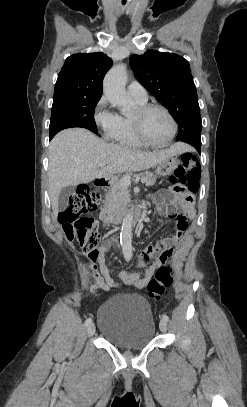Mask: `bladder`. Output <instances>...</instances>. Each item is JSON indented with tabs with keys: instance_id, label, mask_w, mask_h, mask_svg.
<instances>
[{
	"instance_id": "obj_1",
	"label": "bladder",
	"mask_w": 247,
	"mask_h": 407,
	"mask_svg": "<svg viewBox=\"0 0 247 407\" xmlns=\"http://www.w3.org/2000/svg\"><path fill=\"white\" fill-rule=\"evenodd\" d=\"M97 321L103 338L123 350L142 349L154 339L150 304L137 292L107 298L99 306Z\"/></svg>"
}]
</instances>
